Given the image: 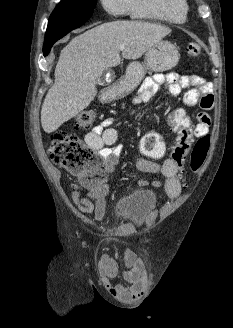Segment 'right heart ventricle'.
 <instances>
[{"instance_id": "e07e8e85", "label": "right heart ventricle", "mask_w": 233, "mask_h": 328, "mask_svg": "<svg viewBox=\"0 0 233 328\" xmlns=\"http://www.w3.org/2000/svg\"><path fill=\"white\" fill-rule=\"evenodd\" d=\"M127 11L136 19L182 24L187 19L186 0H127Z\"/></svg>"}]
</instances>
